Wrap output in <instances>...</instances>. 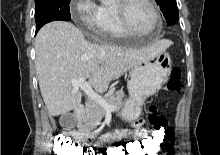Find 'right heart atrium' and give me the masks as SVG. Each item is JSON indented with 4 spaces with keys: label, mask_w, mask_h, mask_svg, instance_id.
Here are the masks:
<instances>
[{
    "label": "right heart atrium",
    "mask_w": 220,
    "mask_h": 155,
    "mask_svg": "<svg viewBox=\"0 0 220 155\" xmlns=\"http://www.w3.org/2000/svg\"><path fill=\"white\" fill-rule=\"evenodd\" d=\"M72 18L85 29L100 33L103 28L101 6L94 0H76L72 11Z\"/></svg>",
    "instance_id": "d8ad5b80"
}]
</instances>
